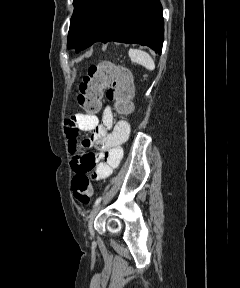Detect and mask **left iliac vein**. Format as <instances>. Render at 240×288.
Returning a JSON list of instances; mask_svg holds the SVG:
<instances>
[{
    "mask_svg": "<svg viewBox=\"0 0 240 288\" xmlns=\"http://www.w3.org/2000/svg\"><path fill=\"white\" fill-rule=\"evenodd\" d=\"M101 209V204H98L97 206H95L93 208V210L91 211L90 215H89V222H88V228H89V232L91 235H94V229H93V220L96 217V215L98 214V212Z\"/></svg>",
    "mask_w": 240,
    "mask_h": 288,
    "instance_id": "1",
    "label": "left iliac vein"
}]
</instances>
